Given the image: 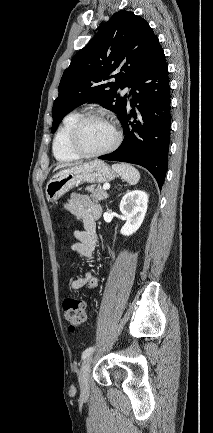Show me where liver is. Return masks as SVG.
I'll return each instance as SVG.
<instances>
[{
  "label": "liver",
  "instance_id": "6515ba94",
  "mask_svg": "<svg viewBox=\"0 0 213 433\" xmlns=\"http://www.w3.org/2000/svg\"><path fill=\"white\" fill-rule=\"evenodd\" d=\"M69 166L68 164L59 165L57 168H63Z\"/></svg>",
  "mask_w": 213,
  "mask_h": 433
}]
</instances>
